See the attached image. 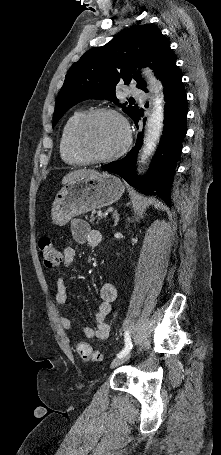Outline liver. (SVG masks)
<instances>
[{"instance_id":"1","label":"liver","mask_w":221,"mask_h":455,"mask_svg":"<svg viewBox=\"0 0 221 455\" xmlns=\"http://www.w3.org/2000/svg\"><path fill=\"white\" fill-rule=\"evenodd\" d=\"M98 174L99 173L97 171L91 170V169L76 170V171L70 172L67 175H65L64 178L62 179V184H68L69 182H71L75 179L82 178V177H90V176L92 177V176H96Z\"/></svg>"}]
</instances>
